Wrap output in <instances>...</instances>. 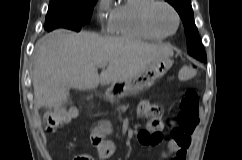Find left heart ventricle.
Wrapping results in <instances>:
<instances>
[{
  "label": "left heart ventricle",
  "instance_id": "left-heart-ventricle-1",
  "mask_svg": "<svg viewBox=\"0 0 242 160\" xmlns=\"http://www.w3.org/2000/svg\"><path fill=\"white\" fill-rule=\"evenodd\" d=\"M155 25L163 32L170 33L176 28V18L173 12L165 7L158 6L153 13Z\"/></svg>",
  "mask_w": 242,
  "mask_h": 160
}]
</instances>
